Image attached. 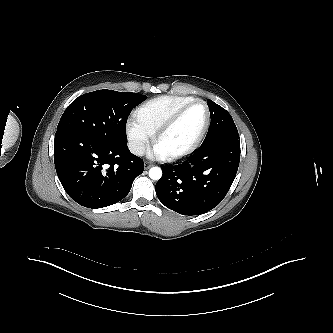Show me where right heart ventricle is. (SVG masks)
<instances>
[{"label":"right heart ventricle","instance_id":"1","mask_svg":"<svg viewBox=\"0 0 333 333\" xmlns=\"http://www.w3.org/2000/svg\"><path fill=\"white\" fill-rule=\"evenodd\" d=\"M193 99V97L178 95L159 96L139 106L135 112V118L153 135L178 108Z\"/></svg>","mask_w":333,"mask_h":333}]
</instances>
